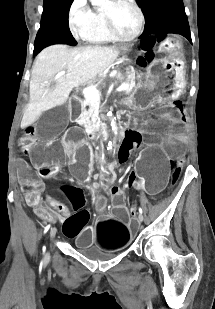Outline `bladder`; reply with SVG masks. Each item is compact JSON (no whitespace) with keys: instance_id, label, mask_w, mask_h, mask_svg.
<instances>
[{"instance_id":"31cf9c89","label":"bladder","mask_w":215,"mask_h":309,"mask_svg":"<svg viewBox=\"0 0 215 309\" xmlns=\"http://www.w3.org/2000/svg\"><path fill=\"white\" fill-rule=\"evenodd\" d=\"M92 259H107V257H102V256H89Z\"/></svg>"}]
</instances>
